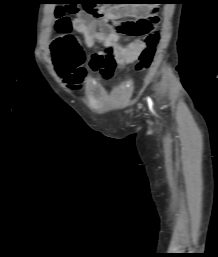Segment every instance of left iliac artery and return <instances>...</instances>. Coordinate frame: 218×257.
Returning a JSON list of instances; mask_svg holds the SVG:
<instances>
[{"mask_svg":"<svg viewBox=\"0 0 218 257\" xmlns=\"http://www.w3.org/2000/svg\"><path fill=\"white\" fill-rule=\"evenodd\" d=\"M147 101H148V104H149L150 108H152L153 102H152L151 98L148 97V98H147Z\"/></svg>","mask_w":218,"mask_h":257,"instance_id":"44dca946","label":"left iliac artery"}]
</instances>
